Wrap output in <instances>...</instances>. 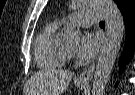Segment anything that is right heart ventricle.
<instances>
[{"mask_svg": "<svg viewBox=\"0 0 135 95\" xmlns=\"http://www.w3.org/2000/svg\"><path fill=\"white\" fill-rule=\"evenodd\" d=\"M63 21L47 23L40 31L34 45L37 65L41 68L62 67L67 59V46L61 38Z\"/></svg>", "mask_w": 135, "mask_h": 95, "instance_id": "1", "label": "right heart ventricle"}]
</instances>
